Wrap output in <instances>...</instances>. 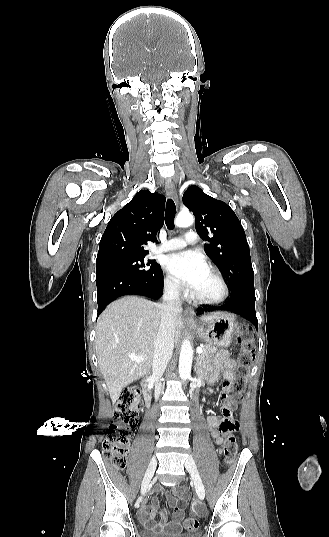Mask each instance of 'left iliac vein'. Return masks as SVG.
<instances>
[{
    "label": "left iliac vein",
    "mask_w": 329,
    "mask_h": 537,
    "mask_svg": "<svg viewBox=\"0 0 329 537\" xmlns=\"http://www.w3.org/2000/svg\"><path fill=\"white\" fill-rule=\"evenodd\" d=\"M185 467L187 469V471L189 472L191 478H192V481L194 483V487H195V490H196V493L199 497L200 500H203L204 497H205V489H204V485H203V482L201 480V477H200V474H199V471L197 469V466L195 464V461L192 457H188L187 460L185 461Z\"/></svg>",
    "instance_id": "1"
}]
</instances>
